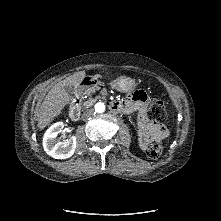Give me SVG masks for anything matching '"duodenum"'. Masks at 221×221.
<instances>
[{"label":"duodenum","mask_w":221,"mask_h":221,"mask_svg":"<svg viewBox=\"0 0 221 221\" xmlns=\"http://www.w3.org/2000/svg\"><path fill=\"white\" fill-rule=\"evenodd\" d=\"M93 85L91 79H85L80 82L79 86L76 89L75 99L70 108V117L72 120H78L81 115V104L86 90ZM110 110L113 113H122L127 111V108L124 103L121 101L111 102Z\"/></svg>","instance_id":"duodenum-1"}]
</instances>
